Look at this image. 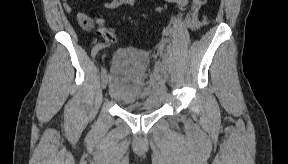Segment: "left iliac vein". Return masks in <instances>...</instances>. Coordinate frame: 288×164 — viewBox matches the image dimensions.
<instances>
[{
	"mask_svg": "<svg viewBox=\"0 0 288 164\" xmlns=\"http://www.w3.org/2000/svg\"><path fill=\"white\" fill-rule=\"evenodd\" d=\"M167 73H168L167 67L164 66V67H163V74H164L165 76H167Z\"/></svg>",
	"mask_w": 288,
	"mask_h": 164,
	"instance_id": "obj_1",
	"label": "left iliac vein"
}]
</instances>
